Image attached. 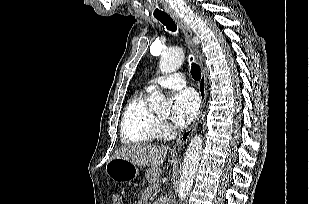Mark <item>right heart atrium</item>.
<instances>
[{
  "mask_svg": "<svg viewBox=\"0 0 309 204\" xmlns=\"http://www.w3.org/2000/svg\"><path fill=\"white\" fill-rule=\"evenodd\" d=\"M170 131V127L166 122L159 123V135H168Z\"/></svg>",
  "mask_w": 309,
  "mask_h": 204,
  "instance_id": "1",
  "label": "right heart atrium"
}]
</instances>
